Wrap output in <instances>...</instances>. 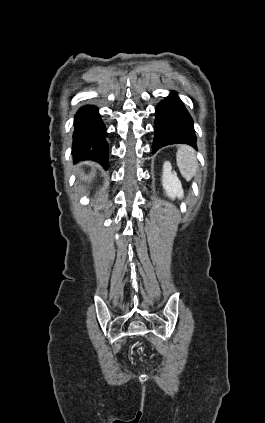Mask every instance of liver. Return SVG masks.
<instances>
[{"mask_svg":"<svg viewBox=\"0 0 265 423\" xmlns=\"http://www.w3.org/2000/svg\"><path fill=\"white\" fill-rule=\"evenodd\" d=\"M90 164L92 166V169L94 170L95 164L94 163H90ZM79 174H80V176H83L84 180H90L91 177H93L95 175L94 172H92L90 176H84L83 173H81V172H79Z\"/></svg>","mask_w":265,"mask_h":423,"instance_id":"obj_1","label":"liver"}]
</instances>
